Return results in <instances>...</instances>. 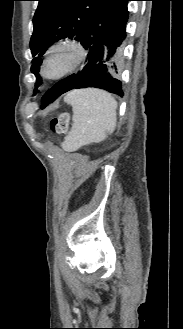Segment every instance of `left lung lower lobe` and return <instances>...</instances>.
<instances>
[{"label": "left lung lower lobe", "mask_w": 183, "mask_h": 329, "mask_svg": "<svg viewBox=\"0 0 183 329\" xmlns=\"http://www.w3.org/2000/svg\"><path fill=\"white\" fill-rule=\"evenodd\" d=\"M129 1L132 0H114L93 20L81 40L87 51L85 65L49 89L42 97V108L63 93L78 88L96 87L123 96L118 70Z\"/></svg>", "instance_id": "0a47b994"}]
</instances>
